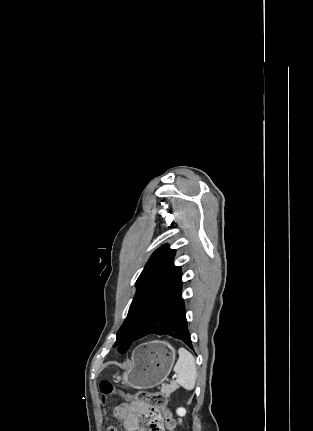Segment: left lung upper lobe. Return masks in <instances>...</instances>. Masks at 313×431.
Masks as SVG:
<instances>
[{
	"instance_id": "left-lung-upper-lobe-1",
	"label": "left lung upper lobe",
	"mask_w": 313,
	"mask_h": 431,
	"mask_svg": "<svg viewBox=\"0 0 313 431\" xmlns=\"http://www.w3.org/2000/svg\"><path fill=\"white\" fill-rule=\"evenodd\" d=\"M175 250L159 248L136 281L137 291L117 332L116 345L125 353L150 319L182 291L181 269L174 266Z\"/></svg>"
}]
</instances>
